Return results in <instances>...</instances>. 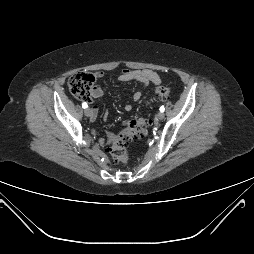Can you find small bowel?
<instances>
[{
  "label": "small bowel",
  "instance_id": "c3829d8e",
  "mask_svg": "<svg viewBox=\"0 0 254 254\" xmlns=\"http://www.w3.org/2000/svg\"><path fill=\"white\" fill-rule=\"evenodd\" d=\"M104 73L102 71H98L95 73L96 78H102ZM120 82H128V81H138L142 84L143 87L148 86L149 84L159 85L161 83V76L157 71L151 69H123L121 73L117 77ZM103 89L101 86H95L91 92V96L93 98H100L103 95ZM142 97V91L138 90L133 94V100L138 102ZM91 103L92 101L89 99L88 101ZM132 109L131 105H126L125 110L130 111ZM92 115L91 120H94L96 114L98 112L97 106H92L91 108ZM99 142L101 145L105 144V139L103 137L99 138Z\"/></svg>",
  "mask_w": 254,
  "mask_h": 254
}]
</instances>
